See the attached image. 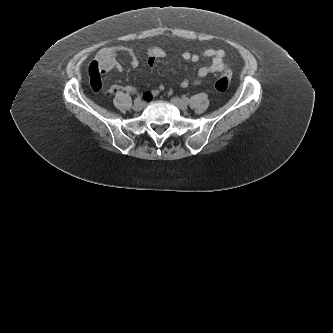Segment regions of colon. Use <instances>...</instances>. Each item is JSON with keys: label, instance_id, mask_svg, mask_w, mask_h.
I'll return each mask as SVG.
<instances>
[{"label": "colon", "instance_id": "colon-1", "mask_svg": "<svg viewBox=\"0 0 333 333\" xmlns=\"http://www.w3.org/2000/svg\"><path fill=\"white\" fill-rule=\"evenodd\" d=\"M231 83V73L226 70L221 78H219L215 83V90L219 93H225Z\"/></svg>", "mask_w": 333, "mask_h": 333}]
</instances>
